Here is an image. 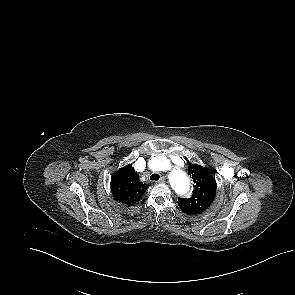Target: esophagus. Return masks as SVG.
<instances>
[{
	"label": "esophagus",
	"instance_id": "obj_1",
	"mask_svg": "<svg viewBox=\"0 0 295 295\" xmlns=\"http://www.w3.org/2000/svg\"><path fill=\"white\" fill-rule=\"evenodd\" d=\"M165 181H166V179H165V177L163 176V177H161L160 179H159V183H165Z\"/></svg>",
	"mask_w": 295,
	"mask_h": 295
}]
</instances>
